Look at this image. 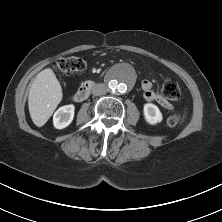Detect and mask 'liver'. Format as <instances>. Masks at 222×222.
I'll return each mask as SVG.
<instances>
[{
	"mask_svg": "<svg viewBox=\"0 0 222 222\" xmlns=\"http://www.w3.org/2000/svg\"><path fill=\"white\" fill-rule=\"evenodd\" d=\"M62 97V88L53 70L46 68L39 72L28 95L29 113L33 123L42 127L52 116Z\"/></svg>",
	"mask_w": 222,
	"mask_h": 222,
	"instance_id": "6515ba94",
	"label": "liver"
}]
</instances>
